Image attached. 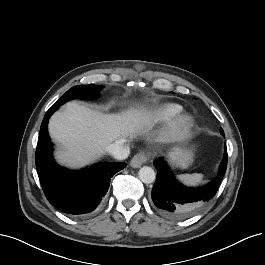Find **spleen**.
I'll list each match as a JSON object with an SVG mask.
<instances>
[{
    "instance_id": "1",
    "label": "spleen",
    "mask_w": 265,
    "mask_h": 265,
    "mask_svg": "<svg viewBox=\"0 0 265 265\" xmlns=\"http://www.w3.org/2000/svg\"><path fill=\"white\" fill-rule=\"evenodd\" d=\"M177 179L187 186H197L202 182L203 174L193 173V174H181L177 175Z\"/></svg>"
}]
</instances>
